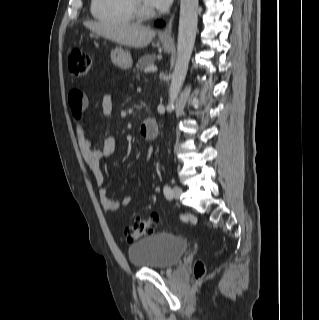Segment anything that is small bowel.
Wrapping results in <instances>:
<instances>
[{
  "label": "small bowel",
  "mask_w": 319,
  "mask_h": 320,
  "mask_svg": "<svg viewBox=\"0 0 319 320\" xmlns=\"http://www.w3.org/2000/svg\"><path fill=\"white\" fill-rule=\"evenodd\" d=\"M87 97L79 89H73L69 94V106L75 121L77 131L78 148L84 163L93 175L94 181L99 187L98 194L102 207L107 211H115L120 206H128L134 200L133 196H125L121 201L112 199L104 186V177L100 168L101 160L112 155L116 149V141L112 137L104 139L101 148H93L90 139L87 136L86 127L83 122L85 109L87 106ZM102 113L111 115L114 104L111 95H105L102 99ZM151 149L148 150V156Z\"/></svg>",
  "instance_id": "1"
}]
</instances>
